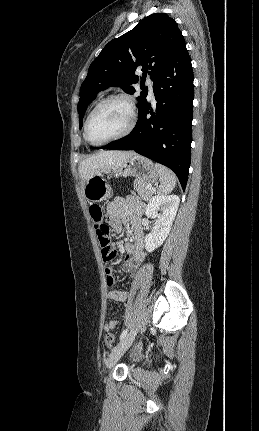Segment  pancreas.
<instances>
[{
    "label": "pancreas",
    "instance_id": "obj_1",
    "mask_svg": "<svg viewBox=\"0 0 259 431\" xmlns=\"http://www.w3.org/2000/svg\"><path fill=\"white\" fill-rule=\"evenodd\" d=\"M134 190L143 200H149L152 196V190L147 189V184L140 179H136L133 183Z\"/></svg>",
    "mask_w": 259,
    "mask_h": 431
}]
</instances>
